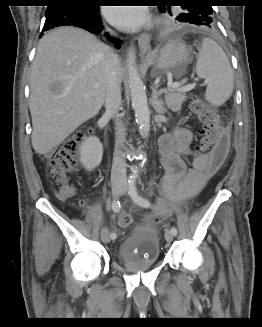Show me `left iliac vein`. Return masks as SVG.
I'll list each match as a JSON object with an SVG mask.
<instances>
[{"mask_svg": "<svg viewBox=\"0 0 262 327\" xmlns=\"http://www.w3.org/2000/svg\"><path fill=\"white\" fill-rule=\"evenodd\" d=\"M128 191H129V185L126 182H123L121 194H127ZM173 237H174V235L172 234V232L170 230L165 231V239L168 243L173 241Z\"/></svg>", "mask_w": 262, "mask_h": 327, "instance_id": "obj_1", "label": "left iliac vein"}]
</instances>
